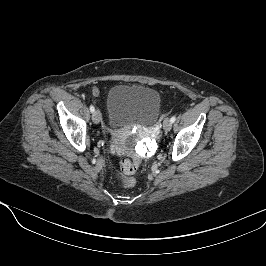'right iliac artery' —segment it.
<instances>
[{"instance_id": "obj_1", "label": "right iliac artery", "mask_w": 266, "mask_h": 266, "mask_svg": "<svg viewBox=\"0 0 266 266\" xmlns=\"http://www.w3.org/2000/svg\"><path fill=\"white\" fill-rule=\"evenodd\" d=\"M90 111L93 113L95 111V108L93 105L90 106Z\"/></svg>"}]
</instances>
